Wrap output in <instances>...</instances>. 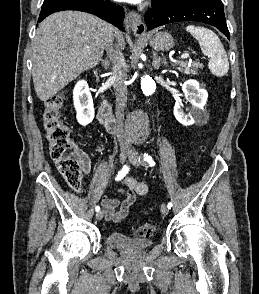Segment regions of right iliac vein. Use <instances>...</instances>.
<instances>
[{
  "label": "right iliac vein",
  "mask_w": 259,
  "mask_h": 294,
  "mask_svg": "<svg viewBox=\"0 0 259 294\" xmlns=\"http://www.w3.org/2000/svg\"><path fill=\"white\" fill-rule=\"evenodd\" d=\"M131 150L129 148H122L120 151V162L124 163L126 161V159L130 156ZM104 217V210H100L99 212H97L96 214V219L97 220H101Z\"/></svg>",
  "instance_id": "1"
}]
</instances>
